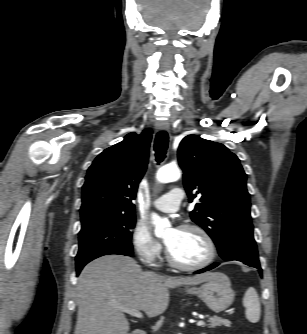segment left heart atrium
Segmentation results:
<instances>
[{"label": "left heart atrium", "instance_id": "left-heart-atrium-1", "mask_svg": "<svg viewBox=\"0 0 307 334\" xmlns=\"http://www.w3.org/2000/svg\"><path fill=\"white\" fill-rule=\"evenodd\" d=\"M180 229H172L170 237L166 240V245L170 249L177 241Z\"/></svg>", "mask_w": 307, "mask_h": 334}]
</instances>
